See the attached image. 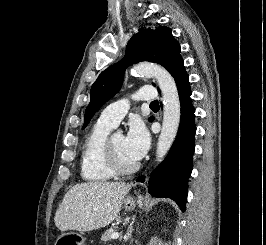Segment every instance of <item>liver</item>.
Returning <instances> with one entry per match:
<instances>
[{"mask_svg": "<svg viewBox=\"0 0 266 245\" xmlns=\"http://www.w3.org/2000/svg\"><path fill=\"white\" fill-rule=\"evenodd\" d=\"M132 185L126 183H80L66 193L54 223L59 231H94L117 217Z\"/></svg>", "mask_w": 266, "mask_h": 245, "instance_id": "obj_1", "label": "liver"}]
</instances>
